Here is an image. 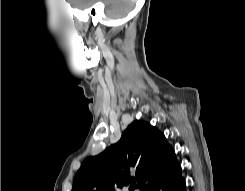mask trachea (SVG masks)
<instances>
[{"instance_id":"1","label":"trachea","mask_w":245,"mask_h":191,"mask_svg":"<svg viewBox=\"0 0 245 191\" xmlns=\"http://www.w3.org/2000/svg\"><path fill=\"white\" fill-rule=\"evenodd\" d=\"M132 188H133V189H134V188H136V185H133V187H132Z\"/></svg>"}]
</instances>
